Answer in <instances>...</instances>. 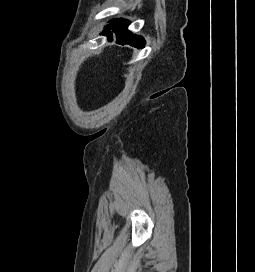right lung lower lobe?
<instances>
[{"label": "right lung lower lobe", "instance_id": "right-lung-lower-lobe-1", "mask_svg": "<svg viewBox=\"0 0 255 272\" xmlns=\"http://www.w3.org/2000/svg\"><path fill=\"white\" fill-rule=\"evenodd\" d=\"M129 22L124 19H114L110 22V25H107L103 31V35L108 36V40L112 41V31L116 33V39L118 44H129L135 47H143L145 44V40L143 37L138 35L132 34L128 29L127 26Z\"/></svg>", "mask_w": 255, "mask_h": 272}]
</instances>
